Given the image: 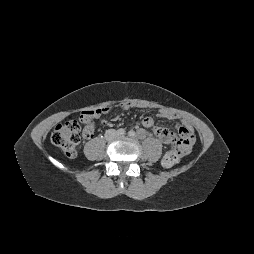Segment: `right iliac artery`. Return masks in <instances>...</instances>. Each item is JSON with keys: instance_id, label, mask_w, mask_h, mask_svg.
I'll list each match as a JSON object with an SVG mask.
<instances>
[{"instance_id": "1", "label": "right iliac artery", "mask_w": 254, "mask_h": 254, "mask_svg": "<svg viewBox=\"0 0 254 254\" xmlns=\"http://www.w3.org/2000/svg\"><path fill=\"white\" fill-rule=\"evenodd\" d=\"M117 133L119 134V135H124L125 134V130L124 129H118V131H117Z\"/></svg>"}]
</instances>
